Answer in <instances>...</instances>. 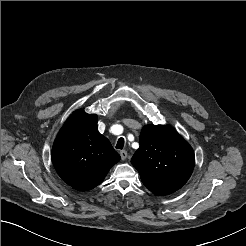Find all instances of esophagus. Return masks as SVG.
Here are the masks:
<instances>
[{"instance_id": "1", "label": "esophagus", "mask_w": 246, "mask_h": 246, "mask_svg": "<svg viewBox=\"0 0 246 246\" xmlns=\"http://www.w3.org/2000/svg\"><path fill=\"white\" fill-rule=\"evenodd\" d=\"M120 156H121L122 160H125L128 156L127 151H125V150L120 151Z\"/></svg>"}]
</instances>
